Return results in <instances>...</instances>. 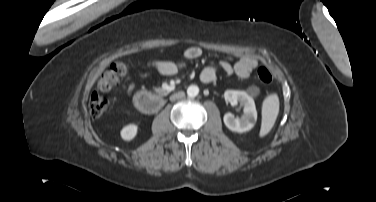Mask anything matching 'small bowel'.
Here are the masks:
<instances>
[{
  "label": "small bowel",
  "instance_id": "small-bowel-1",
  "mask_svg": "<svg viewBox=\"0 0 376 202\" xmlns=\"http://www.w3.org/2000/svg\"><path fill=\"white\" fill-rule=\"evenodd\" d=\"M183 55L185 61L196 60L202 56V50L197 46H192L187 48ZM256 66V59L243 55L239 57L234 64L227 61H221L216 66L204 67L199 73V79L203 83H214L222 74L227 76L236 74L241 78H247ZM153 67L163 76H173L185 67V62L156 60L153 62ZM134 88L135 84L131 83L128 86V91L132 92Z\"/></svg>",
  "mask_w": 376,
  "mask_h": 202
}]
</instances>
